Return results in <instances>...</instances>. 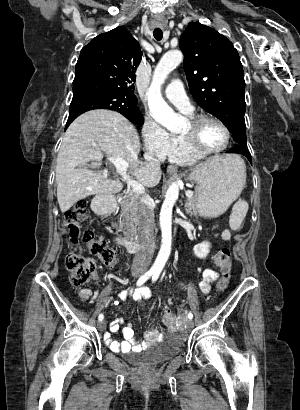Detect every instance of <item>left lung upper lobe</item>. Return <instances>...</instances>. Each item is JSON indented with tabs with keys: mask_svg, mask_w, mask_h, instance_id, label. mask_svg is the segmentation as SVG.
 Segmentation results:
<instances>
[{
	"mask_svg": "<svg viewBox=\"0 0 300 410\" xmlns=\"http://www.w3.org/2000/svg\"><path fill=\"white\" fill-rule=\"evenodd\" d=\"M179 46L195 101L223 122L236 146H246L244 73L233 44L214 29L191 22Z\"/></svg>",
	"mask_w": 300,
	"mask_h": 410,
	"instance_id": "left-lung-upper-lobe-1",
	"label": "left lung upper lobe"
}]
</instances>
